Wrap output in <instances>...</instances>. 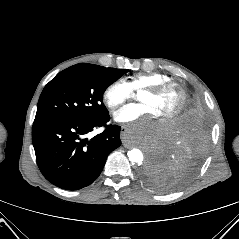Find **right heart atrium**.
<instances>
[{
    "mask_svg": "<svg viewBox=\"0 0 239 239\" xmlns=\"http://www.w3.org/2000/svg\"><path fill=\"white\" fill-rule=\"evenodd\" d=\"M133 91L128 83L118 79L110 83L103 92V102L111 110L116 111L131 98Z\"/></svg>",
    "mask_w": 239,
    "mask_h": 239,
    "instance_id": "d8ad5b80",
    "label": "right heart atrium"
}]
</instances>
